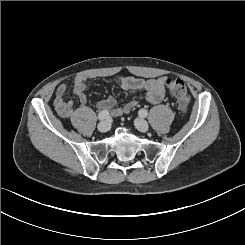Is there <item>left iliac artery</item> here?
<instances>
[{
    "mask_svg": "<svg viewBox=\"0 0 245 245\" xmlns=\"http://www.w3.org/2000/svg\"><path fill=\"white\" fill-rule=\"evenodd\" d=\"M147 110L146 109H140L139 110V115L142 117H146L147 116Z\"/></svg>",
    "mask_w": 245,
    "mask_h": 245,
    "instance_id": "left-iliac-artery-1",
    "label": "left iliac artery"
}]
</instances>
